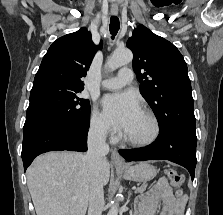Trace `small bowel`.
<instances>
[{
  "mask_svg": "<svg viewBox=\"0 0 223 215\" xmlns=\"http://www.w3.org/2000/svg\"><path fill=\"white\" fill-rule=\"evenodd\" d=\"M162 205L159 215H183L185 200L175 198L166 179H161L153 189L137 200L135 215H155Z\"/></svg>",
  "mask_w": 223,
  "mask_h": 215,
  "instance_id": "small-bowel-1",
  "label": "small bowel"
}]
</instances>
